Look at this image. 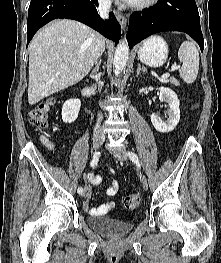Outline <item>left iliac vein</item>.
I'll use <instances>...</instances> for the list:
<instances>
[{
    "label": "left iliac vein",
    "instance_id": "1",
    "mask_svg": "<svg viewBox=\"0 0 221 263\" xmlns=\"http://www.w3.org/2000/svg\"><path fill=\"white\" fill-rule=\"evenodd\" d=\"M114 155L120 160H126V156H125V154H124L122 149L114 151ZM141 183H142L143 189L147 190V188H148V181H147V178H146L145 175H142Z\"/></svg>",
    "mask_w": 221,
    "mask_h": 263
}]
</instances>
